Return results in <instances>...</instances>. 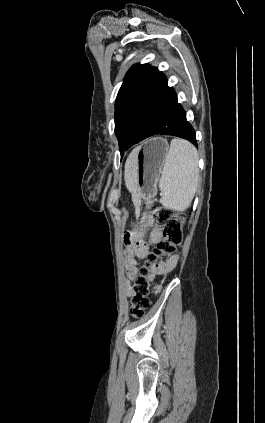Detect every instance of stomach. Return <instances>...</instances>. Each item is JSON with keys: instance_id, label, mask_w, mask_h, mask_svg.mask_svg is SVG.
Returning <instances> with one entry per match:
<instances>
[{"instance_id": "0dacf381", "label": "stomach", "mask_w": 265, "mask_h": 423, "mask_svg": "<svg viewBox=\"0 0 265 423\" xmlns=\"http://www.w3.org/2000/svg\"><path fill=\"white\" fill-rule=\"evenodd\" d=\"M168 151L167 140L161 137L148 139L133 151L136 185L142 196L152 198L156 194Z\"/></svg>"}]
</instances>
